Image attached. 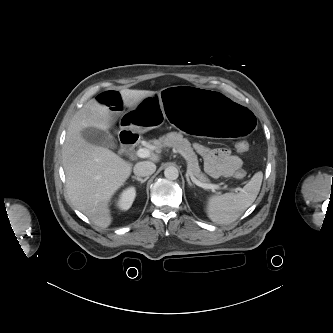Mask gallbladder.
Here are the masks:
<instances>
[{
  "label": "gallbladder",
  "mask_w": 333,
  "mask_h": 333,
  "mask_svg": "<svg viewBox=\"0 0 333 333\" xmlns=\"http://www.w3.org/2000/svg\"><path fill=\"white\" fill-rule=\"evenodd\" d=\"M83 138L94 145L115 149L116 143L113 136L108 131H103L94 127H89L81 132Z\"/></svg>",
  "instance_id": "bac80fb5"
}]
</instances>
